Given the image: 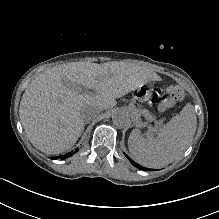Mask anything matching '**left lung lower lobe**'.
<instances>
[{
    "label": "left lung lower lobe",
    "mask_w": 219,
    "mask_h": 219,
    "mask_svg": "<svg viewBox=\"0 0 219 219\" xmlns=\"http://www.w3.org/2000/svg\"><path fill=\"white\" fill-rule=\"evenodd\" d=\"M125 156H126V157L129 159V161H130L134 166H136L137 168L149 170V169L144 168V167H142L141 165L137 164L135 161H133L132 159H130L126 154H125Z\"/></svg>",
    "instance_id": "0a47b994"
}]
</instances>
